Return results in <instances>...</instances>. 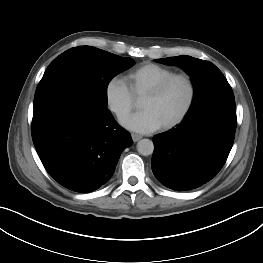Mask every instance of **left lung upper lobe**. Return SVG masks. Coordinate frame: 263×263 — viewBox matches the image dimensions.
Masks as SVG:
<instances>
[{"instance_id": "1", "label": "left lung upper lobe", "mask_w": 263, "mask_h": 263, "mask_svg": "<svg viewBox=\"0 0 263 263\" xmlns=\"http://www.w3.org/2000/svg\"><path fill=\"white\" fill-rule=\"evenodd\" d=\"M156 61L183 68L194 84V97L187 113L192 114L218 100H234V94L222 72L211 62L191 56H177Z\"/></svg>"}]
</instances>
